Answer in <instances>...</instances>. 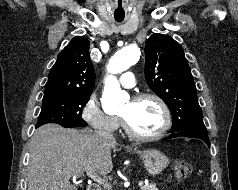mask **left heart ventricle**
Returning a JSON list of instances; mask_svg holds the SVG:
<instances>
[{
	"mask_svg": "<svg viewBox=\"0 0 238 190\" xmlns=\"http://www.w3.org/2000/svg\"><path fill=\"white\" fill-rule=\"evenodd\" d=\"M133 130L141 134H153L163 124V114L159 105L153 100L127 101L120 110Z\"/></svg>",
	"mask_w": 238,
	"mask_h": 190,
	"instance_id": "b2bd125f",
	"label": "left heart ventricle"
}]
</instances>
